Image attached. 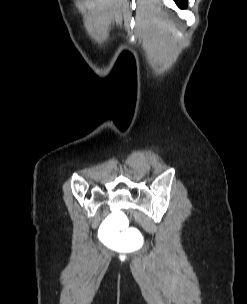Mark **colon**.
Segmentation results:
<instances>
[{
  "label": "colon",
  "instance_id": "obj_1",
  "mask_svg": "<svg viewBox=\"0 0 247 304\" xmlns=\"http://www.w3.org/2000/svg\"><path fill=\"white\" fill-rule=\"evenodd\" d=\"M133 214H107L106 220H101L97 240H104V248H112V253H137V248H143L146 239L142 237L139 225H130Z\"/></svg>",
  "mask_w": 247,
  "mask_h": 304
}]
</instances>
